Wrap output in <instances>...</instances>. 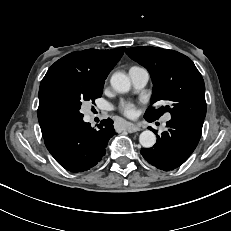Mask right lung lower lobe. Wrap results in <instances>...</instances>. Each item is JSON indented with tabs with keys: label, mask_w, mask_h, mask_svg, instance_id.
<instances>
[{
	"label": "right lung lower lobe",
	"mask_w": 231,
	"mask_h": 231,
	"mask_svg": "<svg viewBox=\"0 0 231 231\" xmlns=\"http://www.w3.org/2000/svg\"><path fill=\"white\" fill-rule=\"evenodd\" d=\"M115 134L111 119L101 121L98 130L79 120L67 123L43 138L48 151L63 168L83 172L100 162L108 140Z\"/></svg>",
	"instance_id": "1"
}]
</instances>
